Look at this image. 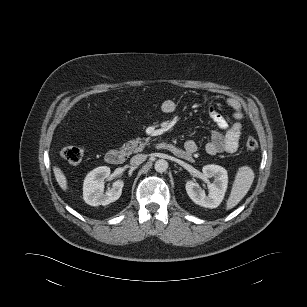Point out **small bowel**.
Listing matches in <instances>:
<instances>
[{
  "label": "small bowel",
  "mask_w": 307,
  "mask_h": 307,
  "mask_svg": "<svg viewBox=\"0 0 307 307\" xmlns=\"http://www.w3.org/2000/svg\"><path fill=\"white\" fill-rule=\"evenodd\" d=\"M206 101L209 107V115L218 127V130L213 132L205 144L206 153L215 155L223 152L229 154L236 152L242 136L243 113L240 102L234 98L226 100V105L232 110L233 116V122L229 124L212 98L207 97ZM161 109L164 113H172L176 109V103L173 100H165L161 104ZM197 149L198 146L195 141L187 140L182 148L175 147V154L183 158H189L196 153Z\"/></svg>",
  "instance_id": "obj_1"
}]
</instances>
